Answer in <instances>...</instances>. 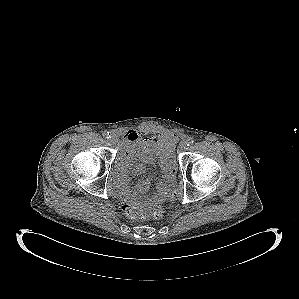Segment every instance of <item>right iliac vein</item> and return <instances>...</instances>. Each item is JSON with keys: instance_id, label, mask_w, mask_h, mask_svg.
I'll list each match as a JSON object with an SVG mask.
<instances>
[{"instance_id": "63e3f726", "label": "right iliac vein", "mask_w": 299, "mask_h": 299, "mask_svg": "<svg viewBox=\"0 0 299 299\" xmlns=\"http://www.w3.org/2000/svg\"><path fill=\"white\" fill-rule=\"evenodd\" d=\"M110 142L112 144H116L118 142V137H117L116 134L113 133V134L110 135Z\"/></svg>"}]
</instances>
